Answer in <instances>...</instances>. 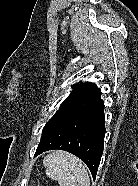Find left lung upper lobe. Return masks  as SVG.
I'll use <instances>...</instances> for the list:
<instances>
[{
    "label": "left lung upper lobe",
    "instance_id": "obj_1",
    "mask_svg": "<svg viewBox=\"0 0 138 186\" xmlns=\"http://www.w3.org/2000/svg\"><path fill=\"white\" fill-rule=\"evenodd\" d=\"M73 91L67 97V99L62 103L59 110L55 113V115L46 123L42 134L51 127L61 116L74 108L80 101H82L85 97L90 95L94 90L97 89V86L93 83H81L75 84L72 86Z\"/></svg>",
    "mask_w": 138,
    "mask_h": 186
}]
</instances>
